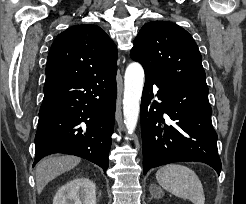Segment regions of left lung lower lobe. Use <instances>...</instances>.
Returning a JSON list of instances; mask_svg holds the SVG:
<instances>
[{"mask_svg": "<svg viewBox=\"0 0 246 204\" xmlns=\"http://www.w3.org/2000/svg\"><path fill=\"white\" fill-rule=\"evenodd\" d=\"M153 85L159 88L156 95ZM155 97L157 101L153 100ZM211 114L207 85L145 75L141 100L144 174L172 162L198 161L220 175Z\"/></svg>", "mask_w": 246, "mask_h": 204, "instance_id": "1", "label": "left lung lower lobe"}]
</instances>
